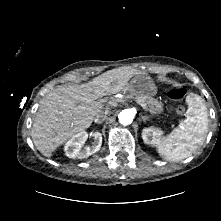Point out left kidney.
I'll list each match as a JSON object with an SVG mask.
<instances>
[{
	"label": "left kidney",
	"mask_w": 221,
	"mask_h": 221,
	"mask_svg": "<svg viewBox=\"0 0 221 221\" xmlns=\"http://www.w3.org/2000/svg\"><path fill=\"white\" fill-rule=\"evenodd\" d=\"M162 133L163 132L158 128H145L142 132V139L146 144L155 145L159 143Z\"/></svg>",
	"instance_id": "5707ae66"
}]
</instances>
